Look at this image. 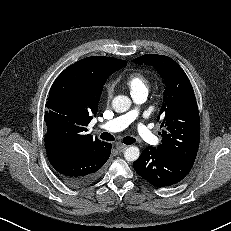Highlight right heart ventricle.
Masks as SVG:
<instances>
[{"label":"right heart ventricle","instance_id":"right-heart-ventricle-1","mask_svg":"<svg viewBox=\"0 0 231 231\" xmlns=\"http://www.w3.org/2000/svg\"><path fill=\"white\" fill-rule=\"evenodd\" d=\"M125 85L131 95L147 92L149 89L148 79L141 73L135 72L125 78Z\"/></svg>","mask_w":231,"mask_h":231}]
</instances>
